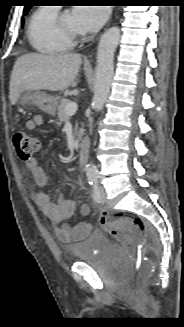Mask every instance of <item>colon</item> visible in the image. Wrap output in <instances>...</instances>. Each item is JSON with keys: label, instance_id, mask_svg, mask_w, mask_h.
<instances>
[{"label": "colon", "instance_id": "colon-1", "mask_svg": "<svg viewBox=\"0 0 184 327\" xmlns=\"http://www.w3.org/2000/svg\"><path fill=\"white\" fill-rule=\"evenodd\" d=\"M13 144L18 157L24 161L33 158L41 148L39 139L25 130H16L13 133ZM100 223L124 243L137 245V254L127 287L134 296H138L152 269L146 257L145 248L148 243L154 241V234L141 218L124 213H104L100 217Z\"/></svg>", "mask_w": 184, "mask_h": 327}]
</instances>
